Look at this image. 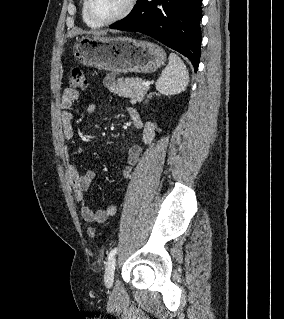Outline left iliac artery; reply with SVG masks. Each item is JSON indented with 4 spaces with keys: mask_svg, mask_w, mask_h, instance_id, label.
I'll use <instances>...</instances> for the list:
<instances>
[{
    "mask_svg": "<svg viewBox=\"0 0 284 319\" xmlns=\"http://www.w3.org/2000/svg\"><path fill=\"white\" fill-rule=\"evenodd\" d=\"M116 252H117V248H113L108 254V259L109 260L112 259L115 256Z\"/></svg>",
    "mask_w": 284,
    "mask_h": 319,
    "instance_id": "44dca946",
    "label": "left iliac artery"
}]
</instances>
